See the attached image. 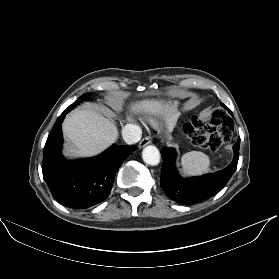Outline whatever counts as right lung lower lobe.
Here are the masks:
<instances>
[{
	"instance_id": "98d812e1",
	"label": "right lung lower lobe",
	"mask_w": 279,
	"mask_h": 279,
	"mask_svg": "<svg viewBox=\"0 0 279 279\" xmlns=\"http://www.w3.org/2000/svg\"><path fill=\"white\" fill-rule=\"evenodd\" d=\"M68 112L65 110L58 117L48 136L42 172L57 201L70 208L86 209L108 197L117 170L136 147L114 144L97 157L67 161L61 149L62 122Z\"/></svg>"
}]
</instances>
